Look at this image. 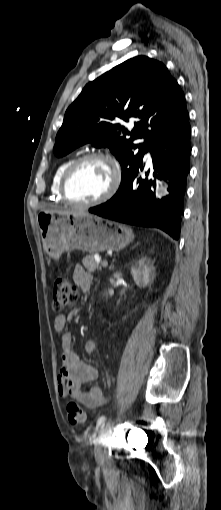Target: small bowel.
<instances>
[{
  "mask_svg": "<svg viewBox=\"0 0 221 510\" xmlns=\"http://www.w3.org/2000/svg\"><path fill=\"white\" fill-rule=\"evenodd\" d=\"M74 282L83 290L89 291L92 286V275L81 265H76L73 271ZM67 325L65 315H57L54 319V328L63 331ZM63 353L62 366L59 371V393L63 397H72L89 409H95L106 401V388L103 385H94L89 390L84 385L97 379L98 371L91 365L83 362L73 350V336L64 333L61 337ZM87 354H95L97 345L89 340L85 343Z\"/></svg>",
  "mask_w": 221,
  "mask_h": 510,
  "instance_id": "c3829d8e",
  "label": "small bowel"
}]
</instances>
